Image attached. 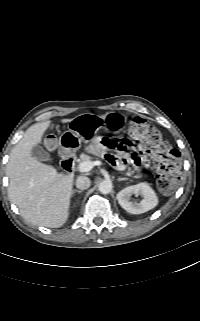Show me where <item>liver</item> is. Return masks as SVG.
<instances>
[{"instance_id":"1","label":"liver","mask_w":200,"mask_h":321,"mask_svg":"<svg viewBox=\"0 0 200 321\" xmlns=\"http://www.w3.org/2000/svg\"><path fill=\"white\" fill-rule=\"evenodd\" d=\"M50 124V121L36 123L26 130L11 151L6 173L8 196L21 216L34 225L59 228L69 217L74 176L58 173L53 166L32 156L33 147L41 143Z\"/></svg>"}]
</instances>
